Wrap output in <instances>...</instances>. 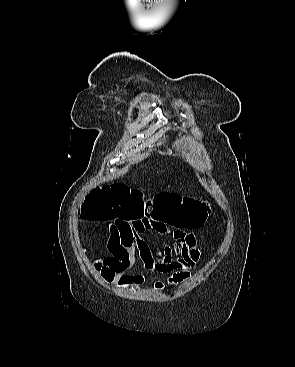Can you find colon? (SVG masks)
<instances>
[{"label":"colon","instance_id":"5ec220e1","mask_svg":"<svg viewBox=\"0 0 295 367\" xmlns=\"http://www.w3.org/2000/svg\"><path fill=\"white\" fill-rule=\"evenodd\" d=\"M81 213L88 220H166L194 230L204 224L209 205L202 200L168 192H160L152 200H146L139 189L115 183L92 189L82 204Z\"/></svg>","mask_w":295,"mask_h":367}]
</instances>
